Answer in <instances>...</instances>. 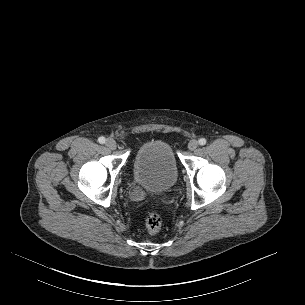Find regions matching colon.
<instances>
[{
    "mask_svg": "<svg viewBox=\"0 0 305 305\" xmlns=\"http://www.w3.org/2000/svg\"><path fill=\"white\" fill-rule=\"evenodd\" d=\"M163 221L159 214L151 213L145 221L146 229L151 234H157L162 229Z\"/></svg>",
    "mask_w": 305,
    "mask_h": 305,
    "instance_id": "colon-1",
    "label": "colon"
}]
</instances>
